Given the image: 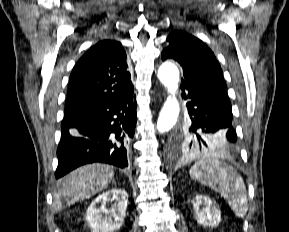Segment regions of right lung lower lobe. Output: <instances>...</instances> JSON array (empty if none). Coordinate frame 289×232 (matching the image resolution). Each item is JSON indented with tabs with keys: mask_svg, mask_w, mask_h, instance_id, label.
<instances>
[{
	"mask_svg": "<svg viewBox=\"0 0 289 232\" xmlns=\"http://www.w3.org/2000/svg\"><path fill=\"white\" fill-rule=\"evenodd\" d=\"M134 90L119 98L65 111L57 149L60 178L92 162L128 166L127 152L136 126Z\"/></svg>",
	"mask_w": 289,
	"mask_h": 232,
	"instance_id": "obj_1",
	"label": "right lung lower lobe"
}]
</instances>
